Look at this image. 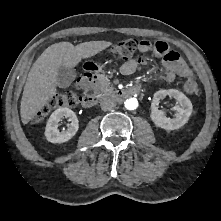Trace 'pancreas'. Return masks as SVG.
Here are the masks:
<instances>
[{
	"label": "pancreas",
	"mask_w": 221,
	"mask_h": 221,
	"mask_svg": "<svg viewBox=\"0 0 221 221\" xmlns=\"http://www.w3.org/2000/svg\"><path fill=\"white\" fill-rule=\"evenodd\" d=\"M109 85H110L109 80L106 77H103L101 80V91L106 92L108 90H111L112 87H109Z\"/></svg>",
	"instance_id": "cf45deb5"
}]
</instances>
